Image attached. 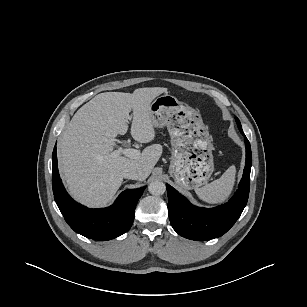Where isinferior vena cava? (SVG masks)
Masks as SVG:
<instances>
[{
  "mask_svg": "<svg viewBox=\"0 0 307 307\" xmlns=\"http://www.w3.org/2000/svg\"><path fill=\"white\" fill-rule=\"evenodd\" d=\"M122 176L127 179L139 180L141 173L133 168H127L122 171Z\"/></svg>",
  "mask_w": 307,
  "mask_h": 307,
  "instance_id": "inferior-vena-cava-1",
  "label": "inferior vena cava"
}]
</instances>
